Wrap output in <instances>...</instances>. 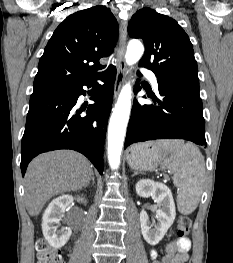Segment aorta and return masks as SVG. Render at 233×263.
I'll return each instance as SVG.
<instances>
[{
  "label": "aorta",
  "instance_id": "obj_1",
  "mask_svg": "<svg viewBox=\"0 0 233 263\" xmlns=\"http://www.w3.org/2000/svg\"><path fill=\"white\" fill-rule=\"evenodd\" d=\"M144 52L142 43L136 39L129 42L125 55L126 63L133 65L140 60ZM131 110V86L127 83L123 86L108 128V160L110 167L115 170L120 164L124 137Z\"/></svg>",
  "mask_w": 233,
  "mask_h": 263
}]
</instances>
